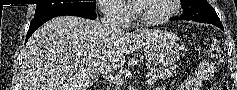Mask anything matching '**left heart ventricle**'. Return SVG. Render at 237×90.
Wrapping results in <instances>:
<instances>
[{
    "mask_svg": "<svg viewBox=\"0 0 237 90\" xmlns=\"http://www.w3.org/2000/svg\"><path fill=\"white\" fill-rule=\"evenodd\" d=\"M169 0L136 1L138 13L144 18H155L168 10Z\"/></svg>",
    "mask_w": 237,
    "mask_h": 90,
    "instance_id": "obj_1",
    "label": "left heart ventricle"
}]
</instances>
